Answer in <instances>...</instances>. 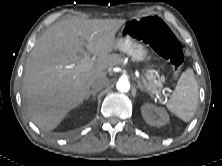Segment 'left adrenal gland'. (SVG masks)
I'll list each match as a JSON object with an SVG mask.
<instances>
[{
	"label": "left adrenal gland",
	"mask_w": 222,
	"mask_h": 166,
	"mask_svg": "<svg viewBox=\"0 0 222 166\" xmlns=\"http://www.w3.org/2000/svg\"><path fill=\"white\" fill-rule=\"evenodd\" d=\"M137 88H140L141 91H146V92H148V90L146 89V87H144V85H143L139 80H137Z\"/></svg>",
	"instance_id": "a2214340"
}]
</instances>
